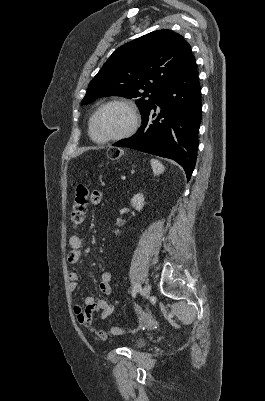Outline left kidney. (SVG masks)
I'll return each mask as SVG.
<instances>
[{
    "label": "left kidney",
    "mask_w": 265,
    "mask_h": 401,
    "mask_svg": "<svg viewBox=\"0 0 265 401\" xmlns=\"http://www.w3.org/2000/svg\"><path fill=\"white\" fill-rule=\"evenodd\" d=\"M131 205L134 207L135 211H141L143 209L144 205V196L141 194V192H138V194H134L131 198ZM119 231H116V235H118Z\"/></svg>",
    "instance_id": "5707ae66"
}]
</instances>
